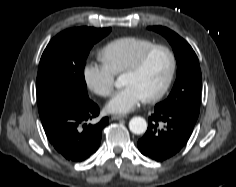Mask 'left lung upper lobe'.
<instances>
[{
    "label": "left lung upper lobe",
    "instance_id": "left-lung-upper-lobe-1",
    "mask_svg": "<svg viewBox=\"0 0 236 187\" xmlns=\"http://www.w3.org/2000/svg\"><path fill=\"white\" fill-rule=\"evenodd\" d=\"M148 29L160 33L169 41L178 65L176 81L170 95L157 105L198 116L202 75L195 52L183 38L166 27L152 26Z\"/></svg>",
    "mask_w": 236,
    "mask_h": 187
}]
</instances>
